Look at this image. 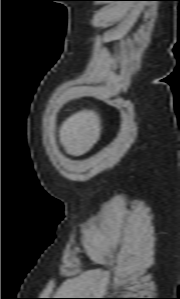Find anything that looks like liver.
Listing matches in <instances>:
<instances>
[{
  "label": "liver",
  "instance_id": "6515ba94",
  "mask_svg": "<svg viewBox=\"0 0 180 299\" xmlns=\"http://www.w3.org/2000/svg\"><path fill=\"white\" fill-rule=\"evenodd\" d=\"M101 129L99 115L93 110H82L62 123L60 142L69 155L81 156L99 140Z\"/></svg>",
  "mask_w": 180,
  "mask_h": 299
}]
</instances>
